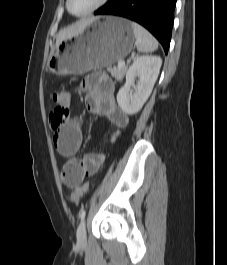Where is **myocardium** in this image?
I'll return each instance as SVG.
<instances>
[{
    "label": "myocardium",
    "mask_w": 227,
    "mask_h": 265,
    "mask_svg": "<svg viewBox=\"0 0 227 265\" xmlns=\"http://www.w3.org/2000/svg\"><path fill=\"white\" fill-rule=\"evenodd\" d=\"M109 0H99L92 8H90L89 10H87L86 12H83V13H80V14H76V13H73L71 10H70V0H66V8H67V11L75 16V17H84V16H87V15H90L92 13H94L95 11L99 10L101 7H103Z\"/></svg>",
    "instance_id": "myocardium-1"
}]
</instances>
